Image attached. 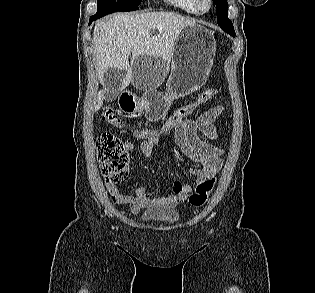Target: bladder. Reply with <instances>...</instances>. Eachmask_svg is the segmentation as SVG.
I'll return each mask as SVG.
<instances>
[{
  "instance_id": "obj_1",
  "label": "bladder",
  "mask_w": 315,
  "mask_h": 293,
  "mask_svg": "<svg viewBox=\"0 0 315 293\" xmlns=\"http://www.w3.org/2000/svg\"><path fill=\"white\" fill-rule=\"evenodd\" d=\"M180 219L179 213L174 209L156 207L145 211L142 220L146 222L174 223Z\"/></svg>"
}]
</instances>
